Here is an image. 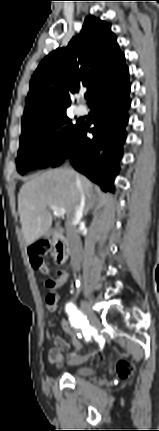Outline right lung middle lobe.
Returning <instances> with one entry per match:
<instances>
[{
	"mask_svg": "<svg viewBox=\"0 0 159 431\" xmlns=\"http://www.w3.org/2000/svg\"><path fill=\"white\" fill-rule=\"evenodd\" d=\"M79 125V121L72 124L63 112L23 130L16 160L18 172L25 174L31 169L49 166Z\"/></svg>",
	"mask_w": 159,
	"mask_h": 431,
	"instance_id": "right-lung-middle-lobe-1",
	"label": "right lung middle lobe"
}]
</instances>
